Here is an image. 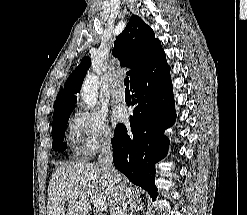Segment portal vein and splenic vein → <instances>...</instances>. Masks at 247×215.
I'll return each instance as SVG.
<instances>
[{"label": "portal vein and splenic vein", "mask_w": 247, "mask_h": 215, "mask_svg": "<svg viewBox=\"0 0 247 215\" xmlns=\"http://www.w3.org/2000/svg\"><path fill=\"white\" fill-rule=\"evenodd\" d=\"M86 194L91 198L96 210L100 212H104L107 210V205L105 201L98 199V198H94L92 192L90 191H86Z\"/></svg>", "instance_id": "portal-vein-and-splenic-vein-1"}]
</instances>
